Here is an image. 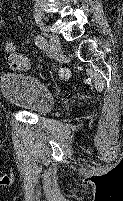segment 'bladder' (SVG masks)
Masks as SVG:
<instances>
[{
	"label": "bladder",
	"instance_id": "bladder-1",
	"mask_svg": "<svg viewBox=\"0 0 123 201\" xmlns=\"http://www.w3.org/2000/svg\"><path fill=\"white\" fill-rule=\"evenodd\" d=\"M2 95L14 107L45 115L54 107L53 94L32 75L6 73L0 80Z\"/></svg>",
	"mask_w": 123,
	"mask_h": 201
}]
</instances>
